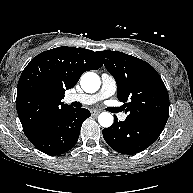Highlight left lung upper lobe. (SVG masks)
I'll list each match as a JSON object with an SVG mask.
<instances>
[{"mask_svg": "<svg viewBox=\"0 0 193 193\" xmlns=\"http://www.w3.org/2000/svg\"><path fill=\"white\" fill-rule=\"evenodd\" d=\"M115 78L127 120L168 117L169 97L157 71L147 62L118 51L96 52Z\"/></svg>", "mask_w": 193, "mask_h": 193, "instance_id": "5c2ea615", "label": "left lung upper lobe"}]
</instances>
